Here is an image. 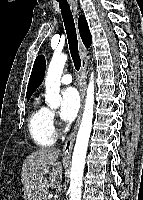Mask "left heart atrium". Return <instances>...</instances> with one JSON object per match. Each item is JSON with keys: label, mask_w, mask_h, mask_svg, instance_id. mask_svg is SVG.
Listing matches in <instances>:
<instances>
[{"label": "left heart atrium", "mask_w": 143, "mask_h": 200, "mask_svg": "<svg viewBox=\"0 0 143 200\" xmlns=\"http://www.w3.org/2000/svg\"><path fill=\"white\" fill-rule=\"evenodd\" d=\"M80 98L74 87L65 88L61 94L60 117L64 122H71L77 115Z\"/></svg>", "instance_id": "left-heart-atrium-1"}]
</instances>
